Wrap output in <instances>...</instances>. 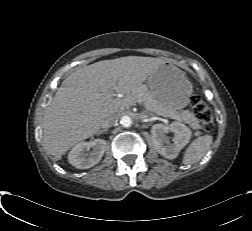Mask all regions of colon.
I'll return each instance as SVG.
<instances>
[{
	"instance_id": "colon-1",
	"label": "colon",
	"mask_w": 252,
	"mask_h": 231,
	"mask_svg": "<svg viewBox=\"0 0 252 231\" xmlns=\"http://www.w3.org/2000/svg\"><path fill=\"white\" fill-rule=\"evenodd\" d=\"M190 106L197 116L203 130L211 131L213 128V114L205 101L198 95H193L190 98Z\"/></svg>"
}]
</instances>
